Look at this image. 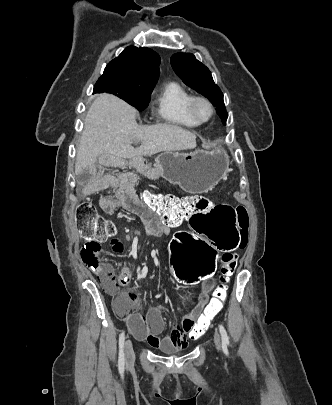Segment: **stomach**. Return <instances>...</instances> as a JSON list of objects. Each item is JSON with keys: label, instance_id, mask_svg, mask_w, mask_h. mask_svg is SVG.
<instances>
[{"label": "stomach", "instance_id": "1", "mask_svg": "<svg viewBox=\"0 0 332 405\" xmlns=\"http://www.w3.org/2000/svg\"><path fill=\"white\" fill-rule=\"evenodd\" d=\"M155 171L182 190L204 193L212 189L229 169V157L224 150L207 153L163 152L155 159Z\"/></svg>", "mask_w": 332, "mask_h": 405}]
</instances>
